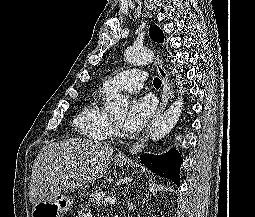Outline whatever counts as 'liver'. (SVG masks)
<instances>
[{
	"label": "liver",
	"mask_w": 255,
	"mask_h": 217,
	"mask_svg": "<svg viewBox=\"0 0 255 217\" xmlns=\"http://www.w3.org/2000/svg\"><path fill=\"white\" fill-rule=\"evenodd\" d=\"M113 152L106 143L86 139H67L43 147L32 167L30 202L35 205L102 178Z\"/></svg>",
	"instance_id": "obj_1"
}]
</instances>
